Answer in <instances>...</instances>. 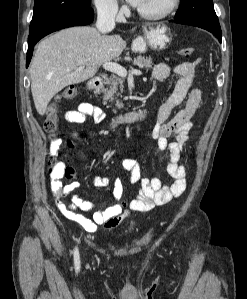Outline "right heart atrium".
Wrapping results in <instances>:
<instances>
[{
    "label": "right heart atrium",
    "instance_id": "d8ad5b80",
    "mask_svg": "<svg viewBox=\"0 0 247 299\" xmlns=\"http://www.w3.org/2000/svg\"><path fill=\"white\" fill-rule=\"evenodd\" d=\"M97 13L104 19H115L122 12L118 0H93Z\"/></svg>",
    "mask_w": 247,
    "mask_h": 299
}]
</instances>
